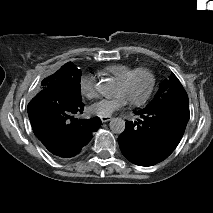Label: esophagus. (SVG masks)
I'll list each match as a JSON object with an SVG mask.
<instances>
[{"instance_id": "34e87169", "label": "esophagus", "mask_w": 213, "mask_h": 213, "mask_svg": "<svg viewBox=\"0 0 213 213\" xmlns=\"http://www.w3.org/2000/svg\"><path fill=\"white\" fill-rule=\"evenodd\" d=\"M110 119H111V116H102V117H101L102 122H107V121H109Z\"/></svg>"}]
</instances>
